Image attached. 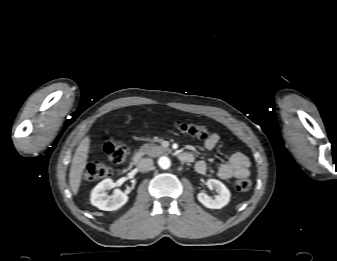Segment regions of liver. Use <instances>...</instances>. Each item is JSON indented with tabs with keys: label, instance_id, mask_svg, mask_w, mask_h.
<instances>
[{
	"label": "liver",
	"instance_id": "liver-1",
	"mask_svg": "<svg viewBox=\"0 0 337 261\" xmlns=\"http://www.w3.org/2000/svg\"><path fill=\"white\" fill-rule=\"evenodd\" d=\"M90 148V137L86 136L77 147L72 159L69 173V184L74 195L78 194L83 171L87 165V158Z\"/></svg>",
	"mask_w": 337,
	"mask_h": 261
}]
</instances>
